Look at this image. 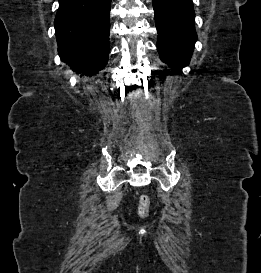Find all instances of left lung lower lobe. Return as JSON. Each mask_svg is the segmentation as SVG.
Segmentation results:
<instances>
[{
  "label": "left lung lower lobe",
  "mask_w": 261,
  "mask_h": 273,
  "mask_svg": "<svg viewBox=\"0 0 261 273\" xmlns=\"http://www.w3.org/2000/svg\"><path fill=\"white\" fill-rule=\"evenodd\" d=\"M160 59L181 71L189 64L197 35L192 0H153Z\"/></svg>",
  "instance_id": "1"
}]
</instances>
